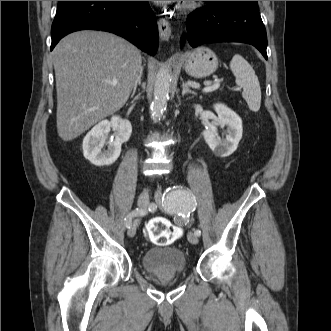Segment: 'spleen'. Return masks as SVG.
<instances>
[{
	"label": "spleen",
	"instance_id": "obj_1",
	"mask_svg": "<svg viewBox=\"0 0 331 331\" xmlns=\"http://www.w3.org/2000/svg\"><path fill=\"white\" fill-rule=\"evenodd\" d=\"M230 69L237 85L243 88L242 97L250 110L257 112L261 105V88L252 66L241 55L236 54L230 62Z\"/></svg>",
	"mask_w": 331,
	"mask_h": 331
}]
</instances>
